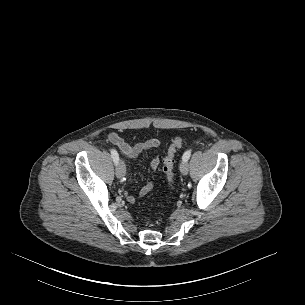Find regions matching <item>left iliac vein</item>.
<instances>
[{
    "label": "left iliac vein",
    "instance_id": "4c4485c4",
    "mask_svg": "<svg viewBox=\"0 0 305 305\" xmlns=\"http://www.w3.org/2000/svg\"><path fill=\"white\" fill-rule=\"evenodd\" d=\"M188 163L187 161H182L180 164V171L183 175H187L188 174Z\"/></svg>",
    "mask_w": 305,
    "mask_h": 305
}]
</instances>
